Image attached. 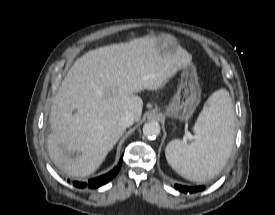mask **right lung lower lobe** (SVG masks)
I'll list each match as a JSON object with an SVG mask.
<instances>
[{
    "label": "right lung lower lobe",
    "instance_id": "right-lung-lower-lobe-1",
    "mask_svg": "<svg viewBox=\"0 0 275 215\" xmlns=\"http://www.w3.org/2000/svg\"><path fill=\"white\" fill-rule=\"evenodd\" d=\"M122 160H123V156L121 157L118 165L112 171H110L109 173H107L105 175H102V176H99L97 178L90 179L88 181V183L74 182L73 183L74 186L80 187V188H84L86 186L88 188H98V187L106 184L107 182H109L112 178H114L117 175L118 171L121 168Z\"/></svg>",
    "mask_w": 275,
    "mask_h": 215
}]
</instances>
